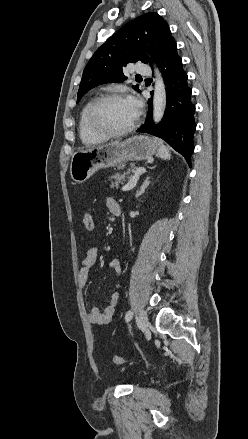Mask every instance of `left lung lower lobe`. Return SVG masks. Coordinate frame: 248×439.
Wrapping results in <instances>:
<instances>
[{"label":"left lung lower lobe","mask_w":248,"mask_h":439,"mask_svg":"<svg viewBox=\"0 0 248 439\" xmlns=\"http://www.w3.org/2000/svg\"><path fill=\"white\" fill-rule=\"evenodd\" d=\"M164 75L167 104L165 114L159 124L152 119V99L148 100L149 112L145 124L137 132L148 133L165 140L177 152L182 154L191 166V154L194 151L193 134L195 105L191 101L192 90L187 84V74L182 67V59L177 54L176 42H173L157 62ZM153 95V92H151Z\"/></svg>","instance_id":"0a47b994"}]
</instances>
